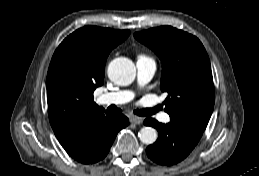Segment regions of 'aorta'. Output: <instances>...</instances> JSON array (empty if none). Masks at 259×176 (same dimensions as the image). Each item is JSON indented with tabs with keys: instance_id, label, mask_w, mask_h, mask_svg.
<instances>
[{
	"instance_id": "762f6f07",
	"label": "aorta",
	"mask_w": 259,
	"mask_h": 176,
	"mask_svg": "<svg viewBox=\"0 0 259 176\" xmlns=\"http://www.w3.org/2000/svg\"><path fill=\"white\" fill-rule=\"evenodd\" d=\"M108 77L117 85H129L136 76V68L131 60L125 57L113 59L108 65ZM139 139L146 145L157 140V131L152 127H143L138 133Z\"/></svg>"
}]
</instances>
